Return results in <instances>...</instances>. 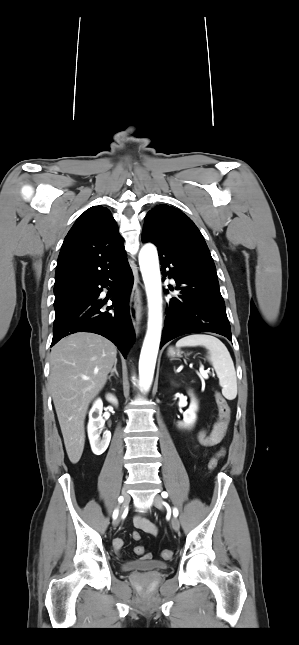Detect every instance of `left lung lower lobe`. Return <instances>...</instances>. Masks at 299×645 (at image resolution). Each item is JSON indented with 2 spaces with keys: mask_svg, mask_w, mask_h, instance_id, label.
<instances>
[{
  "mask_svg": "<svg viewBox=\"0 0 299 645\" xmlns=\"http://www.w3.org/2000/svg\"><path fill=\"white\" fill-rule=\"evenodd\" d=\"M155 245L162 273L173 278L180 290L167 304L160 347L178 336L197 332H214L232 340L212 257L176 241Z\"/></svg>",
  "mask_w": 299,
  "mask_h": 645,
  "instance_id": "obj_1",
  "label": "left lung lower lobe"
}]
</instances>
